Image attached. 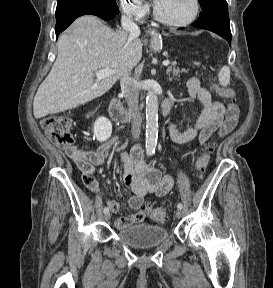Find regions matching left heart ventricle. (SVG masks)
<instances>
[{
	"label": "left heart ventricle",
	"mask_w": 273,
	"mask_h": 288,
	"mask_svg": "<svg viewBox=\"0 0 273 288\" xmlns=\"http://www.w3.org/2000/svg\"><path fill=\"white\" fill-rule=\"evenodd\" d=\"M155 8L164 18L182 21L194 11L193 0H155Z\"/></svg>",
	"instance_id": "left-heart-ventricle-1"
}]
</instances>
